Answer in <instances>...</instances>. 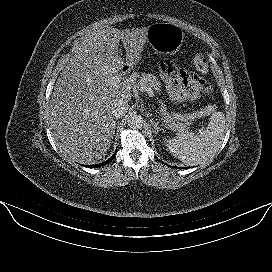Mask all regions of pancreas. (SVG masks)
<instances>
[{"mask_svg":"<svg viewBox=\"0 0 272 272\" xmlns=\"http://www.w3.org/2000/svg\"><path fill=\"white\" fill-rule=\"evenodd\" d=\"M136 86L140 90L151 88L158 93L161 91V82L153 74H141ZM159 105V114L162 116V119L167 124L168 128L179 132H185L188 130L187 125H189L190 122L181 123L179 121L191 120V114L183 115L180 113H175L173 115H170L167 112V107L161 100L159 102Z\"/></svg>","mask_w":272,"mask_h":272,"instance_id":"obj_1","label":"pancreas"}]
</instances>
